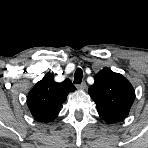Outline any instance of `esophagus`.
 Returning <instances> with one entry per match:
<instances>
[{
  "label": "esophagus",
  "instance_id": "1",
  "mask_svg": "<svg viewBox=\"0 0 148 148\" xmlns=\"http://www.w3.org/2000/svg\"><path fill=\"white\" fill-rule=\"evenodd\" d=\"M77 87H78L79 89L84 90V89H86L87 84H86L85 82H82L81 84H77Z\"/></svg>",
  "mask_w": 148,
  "mask_h": 148
}]
</instances>
